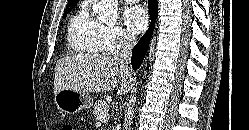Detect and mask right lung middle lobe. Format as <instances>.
<instances>
[{"label":"right lung middle lobe","mask_w":249,"mask_h":130,"mask_svg":"<svg viewBox=\"0 0 249 130\" xmlns=\"http://www.w3.org/2000/svg\"><path fill=\"white\" fill-rule=\"evenodd\" d=\"M75 5H76V3L75 4H70V5L66 6L63 18H65L67 16V14L75 7Z\"/></svg>","instance_id":"obj_1"}]
</instances>
